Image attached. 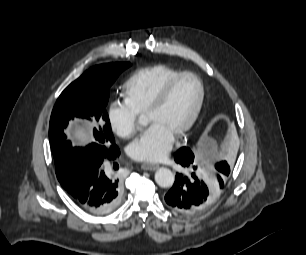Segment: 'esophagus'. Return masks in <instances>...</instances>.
<instances>
[{"mask_svg":"<svg viewBox=\"0 0 306 255\" xmlns=\"http://www.w3.org/2000/svg\"><path fill=\"white\" fill-rule=\"evenodd\" d=\"M141 168H142L143 170H146V171H154V170H156V169L159 168V165H157V164H152V163H143V164L141 165Z\"/></svg>","mask_w":306,"mask_h":255,"instance_id":"1","label":"esophagus"}]
</instances>
